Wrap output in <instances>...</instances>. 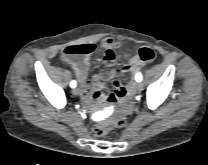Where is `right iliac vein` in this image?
I'll return each mask as SVG.
<instances>
[{
    "mask_svg": "<svg viewBox=\"0 0 208 165\" xmlns=\"http://www.w3.org/2000/svg\"><path fill=\"white\" fill-rule=\"evenodd\" d=\"M72 93L74 95H78L79 94V89L77 87L73 88Z\"/></svg>",
    "mask_w": 208,
    "mask_h": 165,
    "instance_id": "obj_1",
    "label": "right iliac vein"
}]
</instances>
